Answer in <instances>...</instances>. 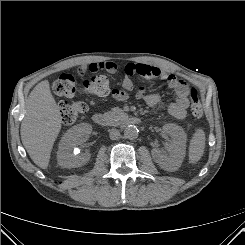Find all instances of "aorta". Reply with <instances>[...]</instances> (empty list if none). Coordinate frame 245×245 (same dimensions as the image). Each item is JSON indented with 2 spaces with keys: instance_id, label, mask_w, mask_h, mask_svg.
Segmentation results:
<instances>
[{
  "instance_id": "obj_1",
  "label": "aorta",
  "mask_w": 245,
  "mask_h": 245,
  "mask_svg": "<svg viewBox=\"0 0 245 245\" xmlns=\"http://www.w3.org/2000/svg\"><path fill=\"white\" fill-rule=\"evenodd\" d=\"M139 130L134 125H128L124 128V136L127 139H136L138 137Z\"/></svg>"
}]
</instances>
